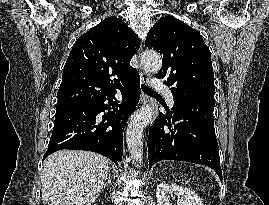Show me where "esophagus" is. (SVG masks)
Here are the masks:
<instances>
[{
  "label": "esophagus",
  "instance_id": "esophagus-1",
  "mask_svg": "<svg viewBox=\"0 0 269 205\" xmlns=\"http://www.w3.org/2000/svg\"><path fill=\"white\" fill-rule=\"evenodd\" d=\"M141 52H142V47H140V49L138 51V57H140ZM140 78H141V82L143 84H147L149 81L148 74L145 71H143L142 69L140 70ZM141 103L144 105L150 103L149 97L144 93H142V95H141Z\"/></svg>",
  "mask_w": 269,
  "mask_h": 205
}]
</instances>
